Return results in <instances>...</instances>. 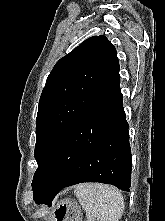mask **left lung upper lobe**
<instances>
[{
	"label": "left lung upper lobe",
	"instance_id": "1",
	"mask_svg": "<svg viewBox=\"0 0 165 221\" xmlns=\"http://www.w3.org/2000/svg\"><path fill=\"white\" fill-rule=\"evenodd\" d=\"M118 77L116 49L105 36L86 39L55 64L39 100L33 194L62 139Z\"/></svg>",
	"mask_w": 165,
	"mask_h": 221
}]
</instances>
